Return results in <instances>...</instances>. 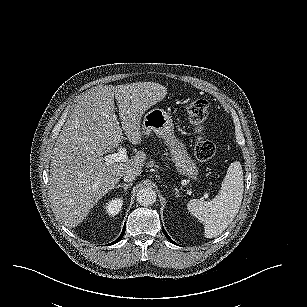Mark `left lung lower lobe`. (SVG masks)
I'll list each match as a JSON object with an SVG mask.
<instances>
[{
	"mask_svg": "<svg viewBox=\"0 0 307 307\" xmlns=\"http://www.w3.org/2000/svg\"><path fill=\"white\" fill-rule=\"evenodd\" d=\"M162 230H163V233L165 234V236L174 244H176L174 241H172V239L168 236V234L166 233V231L164 230V227L162 226Z\"/></svg>",
	"mask_w": 307,
	"mask_h": 307,
	"instance_id": "obj_1",
	"label": "left lung lower lobe"
}]
</instances>
